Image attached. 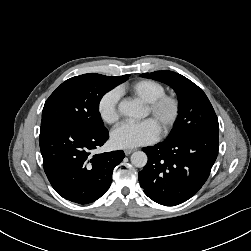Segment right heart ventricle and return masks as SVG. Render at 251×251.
Segmentation results:
<instances>
[{
  "instance_id": "e07e8e85",
  "label": "right heart ventricle",
  "mask_w": 251,
  "mask_h": 251,
  "mask_svg": "<svg viewBox=\"0 0 251 251\" xmlns=\"http://www.w3.org/2000/svg\"><path fill=\"white\" fill-rule=\"evenodd\" d=\"M121 92H129L144 103H148L165 93V87L154 80L142 79L120 88Z\"/></svg>"
}]
</instances>
